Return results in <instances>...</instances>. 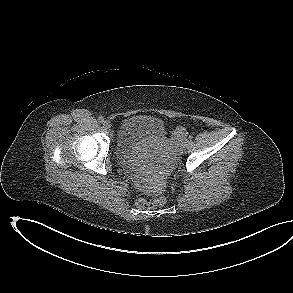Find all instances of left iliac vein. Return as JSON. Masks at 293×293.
<instances>
[{"label":"left iliac vein","mask_w":293,"mask_h":293,"mask_svg":"<svg viewBox=\"0 0 293 293\" xmlns=\"http://www.w3.org/2000/svg\"><path fill=\"white\" fill-rule=\"evenodd\" d=\"M187 145H188V140H187V139H184V140L182 141V144H181L182 148H186Z\"/></svg>","instance_id":"1"}]
</instances>
